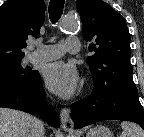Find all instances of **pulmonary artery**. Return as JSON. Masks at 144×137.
<instances>
[{
  "label": "pulmonary artery",
  "mask_w": 144,
  "mask_h": 137,
  "mask_svg": "<svg viewBox=\"0 0 144 137\" xmlns=\"http://www.w3.org/2000/svg\"><path fill=\"white\" fill-rule=\"evenodd\" d=\"M36 50L31 55L33 61H51L60 58L65 52L77 53L80 49L79 40L76 38H67L66 40L53 44L44 45L35 43Z\"/></svg>",
  "instance_id": "obj_1"
}]
</instances>
